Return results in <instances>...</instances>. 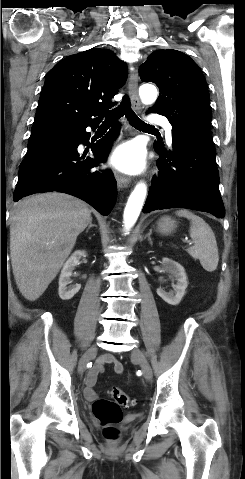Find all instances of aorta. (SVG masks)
Returning a JSON list of instances; mask_svg holds the SVG:
<instances>
[{
    "label": "aorta",
    "instance_id": "762f6f07",
    "mask_svg": "<svg viewBox=\"0 0 245 479\" xmlns=\"http://www.w3.org/2000/svg\"><path fill=\"white\" fill-rule=\"evenodd\" d=\"M139 95L144 104H152L156 101L157 89L153 85H143L139 89ZM146 192L147 187L145 183L140 182L130 194L123 215L124 229L126 232L136 223L144 204Z\"/></svg>",
    "mask_w": 245,
    "mask_h": 479
}]
</instances>
